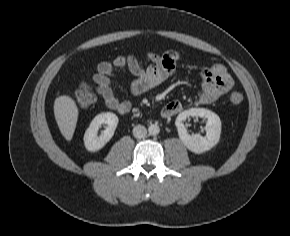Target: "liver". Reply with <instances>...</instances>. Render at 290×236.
Returning <instances> with one entry per match:
<instances>
[{
	"label": "liver",
	"mask_w": 290,
	"mask_h": 236,
	"mask_svg": "<svg viewBox=\"0 0 290 236\" xmlns=\"http://www.w3.org/2000/svg\"><path fill=\"white\" fill-rule=\"evenodd\" d=\"M54 115L61 134L67 141H70L78 119V108L75 101L66 95L58 96L54 102Z\"/></svg>",
	"instance_id": "liver-1"
}]
</instances>
